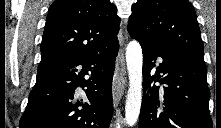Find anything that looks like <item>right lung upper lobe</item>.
Listing matches in <instances>:
<instances>
[{
    "label": "right lung upper lobe",
    "instance_id": "1",
    "mask_svg": "<svg viewBox=\"0 0 221 128\" xmlns=\"http://www.w3.org/2000/svg\"><path fill=\"white\" fill-rule=\"evenodd\" d=\"M116 13L110 0H55L46 19L38 69L118 41L120 18Z\"/></svg>",
    "mask_w": 221,
    "mask_h": 128
}]
</instances>
